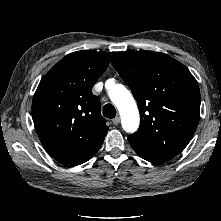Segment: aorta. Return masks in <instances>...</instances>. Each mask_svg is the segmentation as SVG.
<instances>
[{
    "label": "aorta",
    "mask_w": 221,
    "mask_h": 221,
    "mask_svg": "<svg viewBox=\"0 0 221 221\" xmlns=\"http://www.w3.org/2000/svg\"><path fill=\"white\" fill-rule=\"evenodd\" d=\"M108 94L120 113L123 129L129 133L135 132L139 127L140 116L132 94L122 84L111 86Z\"/></svg>",
    "instance_id": "obj_1"
}]
</instances>
